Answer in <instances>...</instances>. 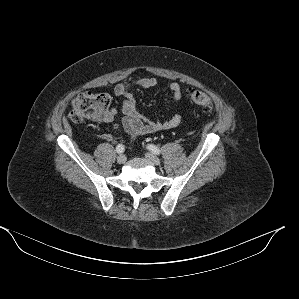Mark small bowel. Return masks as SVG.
<instances>
[{"mask_svg": "<svg viewBox=\"0 0 299 299\" xmlns=\"http://www.w3.org/2000/svg\"><path fill=\"white\" fill-rule=\"evenodd\" d=\"M158 83L156 78L148 77L130 82L116 83L109 87L116 96L121 97L123 100L121 107L123 117L119 123L130 139H134L139 135L172 129L182 124L183 116L179 112L173 113L170 118L163 121L150 120L138 113L133 91L135 89H152ZM167 87L171 91V104L176 106L181 99L182 88L177 82H169L167 83ZM116 114V109L110 108L98 121L101 123H111L115 120ZM104 138L107 140L112 139L109 134L104 135Z\"/></svg>", "mask_w": 299, "mask_h": 299, "instance_id": "1", "label": "small bowel"}]
</instances>
